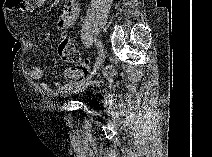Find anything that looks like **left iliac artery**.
Segmentation results:
<instances>
[{
	"label": "left iliac artery",
	"instance_id": "1",
	"mask_svg": "<svg viewBox=\"0 0 212 157\" xmlns=\"http://www.w3.org/2000/svg\"><path fill=\"white\" fill-rule=\"evenodd\" d=\"M95 45H96L99 53L103 51V45H102L101 41L97 40L95 42Z\"/></svg>",
	"mask_w": 212,
	"mask_h": 157
}]
</instances>
